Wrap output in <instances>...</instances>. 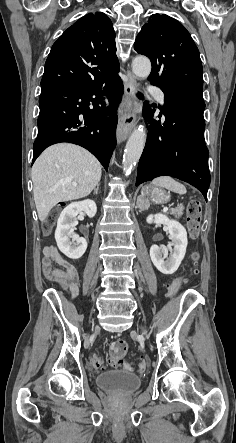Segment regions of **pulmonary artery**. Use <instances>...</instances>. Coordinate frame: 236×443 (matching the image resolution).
<instances>
[{
	"mask_svg": "<svg viewBox=\"0 0 236 443\" xmlns=\"http://www.w3.org/2000/svg\"><path fill=\"white\" fill-rule=\"evenodd\" d=\"M156 98L161 105L164 104V94L161 91L156 92Z\"/></svg>",
	"mask_w": 236,
	"mask_h": 443,
	"instance_id": "e3ab8cb5",
	"label": "pulmonary artery"
}]
</instances>
